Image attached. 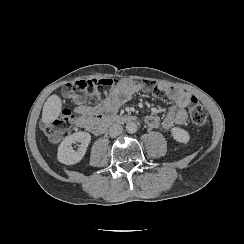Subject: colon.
Wrapping results in <instances>:
<instances>
[{
  "label": "colon",
  "mask_w": 244,
  "mask_h": 244,
  "mask_svg": "<svg viewBox=\"0 0 244 244\" xmlns=\"http://www.w3.org/2000/svg\"><path fill=\"white\" fill-rule=\"evenodd\" d=\"M119 82L116 78H103L90 81H80L69 83L65 86L64 92L69 94L77 103L74 109L77 113L82 114L86 111L87 106L84 102L94 103L99 98H105L102 95L106 88H111ZM144 88L148 91H153L159 95L163 93L158 87H155L152 82H146L143 84ZM84 88H89L86 95L82 93ZM98 90V91H95ZM189 117L190 121L195 126H205L208 122V115L204 106L193 99L189 105ZM76 116L71 112H64L59 114L53 122H46L43 124V131L50 140H58L68 137L72 131V125L75 122Z\"/></svg>",
  "instance_id": "colon-1"
}]
</instances>
